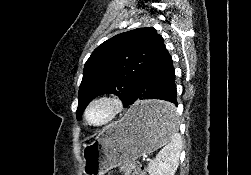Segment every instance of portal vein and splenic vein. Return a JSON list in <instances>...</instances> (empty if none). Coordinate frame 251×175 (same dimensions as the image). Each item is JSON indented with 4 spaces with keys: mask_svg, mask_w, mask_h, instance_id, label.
<instances>
[{
    "mask_svg": "<svg viewBox=\"0 0 251 175\" xmlns=\"http://www.w3.org/2000/svg\"><path fill=\"white\" fill-rule=\"evenodd\" d=\"M141 159H142L144 162H150V161H151V158H150V157H146L145 155H142V156H141Z\"/></svg>",
    "mask_w": 251,
    "mask_h": 175,
    "instance_id": "obj_1",
    "label": "portal vein and splenic vein"
}]
</instances>
